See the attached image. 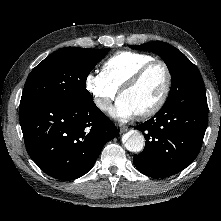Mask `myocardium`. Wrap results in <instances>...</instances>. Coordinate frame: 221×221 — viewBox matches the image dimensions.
Here are the masks:
<instances>
[{"label":"myocardium","mask_w":221,"mask_h":221,"mask_svg":"<svg viewBox=\"0 0 221 221\" xmlns=\"http://www.w3.org/2000/svg\"><path fill=\"white\" fill-rule=\"evenodd\" d=\"M154 65H161L166 73V83H165V87L163 90V93L161 95V97L158 99V101L149 109L136 113L135 115L140 118V119H148L152 116H154L155 114H157L165 105V103L167 102V99L169 97L170 91H171V87H172V72L171 69L169 67V65L164 62L163 60H159V59H153L145 64H143L141 67H139L120 87L119 89V97H121V95L131 89L132 87H134L140 80L141 78L144 76V74Z\"/></svg>","instance_id":"myocardium-1"}]
</instances>
